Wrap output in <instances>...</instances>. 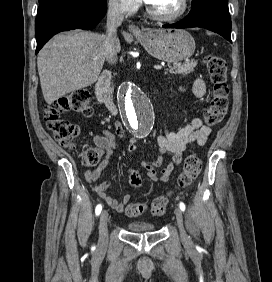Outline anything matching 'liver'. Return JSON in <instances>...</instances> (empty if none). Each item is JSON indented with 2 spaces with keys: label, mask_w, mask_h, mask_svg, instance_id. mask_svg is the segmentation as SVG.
<instances>
[{
  "label": "liver",
  "mask_w": 272,
  "mask_h": 282,
  "mask_svg": "<svg viewBox=\"0 0 272 282\" xmlns=\"http://www.w3.org/2000/svg\"><path fill=\"white\" fill-rule=\"evenodd\" d=\"M121 50L115 43L116 54ZM106 59L105 35L80 31L56 35L38 54L43 97L52 104L66 94L90 86Z\"/></svg>",
  "instance_id": "6515ba94"
}]
</instances>
